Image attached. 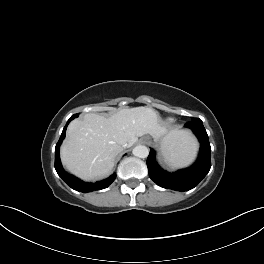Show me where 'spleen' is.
I'll use <instances>...</instances> for the list:
<instances>
[{"label": "spleen", "instance_id": "spleen-1", "mask_svg": "<svg viewBox=\"0 0 264 264\" xmlns=\"http://www.w3.org/2000/svg\"><path fill=\"white\" fill-rule=\"evenodd\" d=\"M197 142L186 132H179L170 144L161 146L166 163L173 167H183L190 164L197 152Z\"/></svg>", "mask_w": 264, "mask_h": 264}]
</instances>
